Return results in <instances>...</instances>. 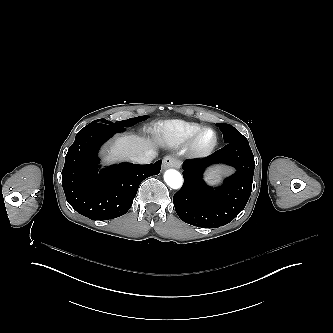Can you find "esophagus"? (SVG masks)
I'll return each instance as SVG.
<instances>
[{"mask_svg": "<svg viewBox=\"0 0 333 333\" xmlns=\"http://www.w3.org/2000/svg\"><path fill=\"white\" fill-rule=\"evenodd\" d=\"M162 164L163 167L167 169V168H180L182 163L180 160L170 155H167L163 158Z\"/></svg>", "mask_w": 333, "mask_h": 333, "instance_id": "1", "label": "esophagus"}]
</instances>
